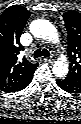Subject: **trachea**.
<instances>
[{"label": "trachea", "mask_w": 81, "mask_h": 124, "mask_svg": "<svg viewBox=\"0 0 81 124\" xmlns=\"http://www.w3.org/2000/svg\"><path fill=\"white\" fill-rule=\"evenodd\" d=\"M34 58H38V57H41V56H44V57H49L50 56V53L47 49H37L34 54H33Z\"/></svg>", "instance_id": "3493384b"}]
</instances>
